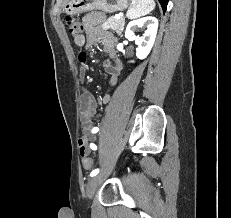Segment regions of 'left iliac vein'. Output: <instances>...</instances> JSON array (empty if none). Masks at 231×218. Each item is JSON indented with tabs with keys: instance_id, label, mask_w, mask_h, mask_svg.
<instances>
[{
	"instance_id": "1",
	"label": "left iliac vein",
	"mask_w": 231,
	"mask_h": 218,
	"mask_svg": "<svg viewBox=\"0 0 231 218\" xmlns=\"http://www.w3.org/2000/svg\"><path fill=\"white\" fill-rule=\"evenodd\" d=\"M99 176H93L88 180L86 187V196L92 199L98 186Z\"/></svg>"
}]
</instances>
